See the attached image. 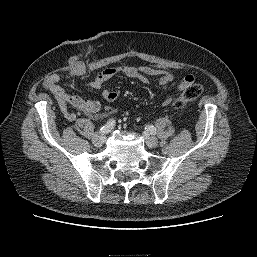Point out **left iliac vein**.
I'll return each mask as SVG.
<instances>
[{"mask_svg": "<svg viewBox=\"0 0 257 257\" xmlns=\"http://www.w3.org/2000/svg\"><path fill=\"white\" fill-rule=\"evenodd\" d=\"M143 137L146 141V144L148 147L150 148H155L158 145V140L156 139V137H154L153 135H151L148 132H145L143 134Z\"/></svg>", "mask_w": 257, "mask_h": 257, "instance_id": "1", "label": "left iliac vein"}]
</instances>
